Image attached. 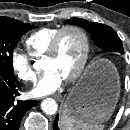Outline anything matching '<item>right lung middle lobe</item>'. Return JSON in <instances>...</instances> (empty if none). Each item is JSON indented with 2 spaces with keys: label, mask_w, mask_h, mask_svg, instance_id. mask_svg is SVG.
Returning <instances> with one entry per match:
<instances>
[{
  "label": "right lung middle lobe",
  "mask_w": 130,
  "mask_h": 130,
  "mask_svg": "<svg viewBox=\"0 0 130 130\" xmlns=\"http://www.w3.org/2000/svg\"><path fill=\"white\" fill-rule=\"evenodd\" d=\"M32 28L28 23L18 20L0 17V72L11 78H15L13 73V52L20 38Z\"/></svg>",
  "instance_id": "1"
}]
</instances>
